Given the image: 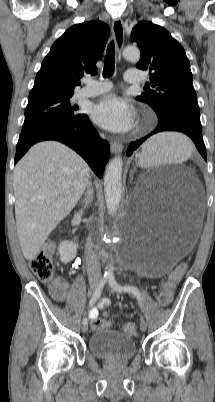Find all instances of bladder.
<instances>
[{"label": "bladder", "instance_id": "bladder-1", "mask_svg": "<svg viewBox=\"0 0 215 402\" xmlns=\"http://www.w3.org/2000/svg\"><path fill=\"white\" fill-rule=\"evenodd\" d=\"M88 348L96 358L114 362L129 360L136 353V343L131 336L105 328L91 334Z\"/></svg>", "mask_w": 215, "mask_h": 402}]
</instances>
